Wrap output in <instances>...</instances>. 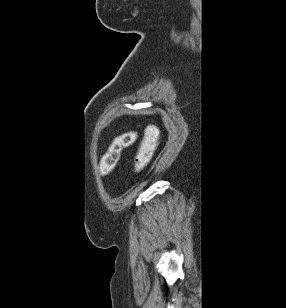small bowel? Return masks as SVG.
<instances>
[{
    "label": "small bowel",
    "instance_id": "c3829d8e",
    "mask_svg": "<svg viewBox=\"0 0 286 308\" xmlns=\"http://www.w3.org/2000/svg\"><path fill=\"white\" fill-rule=\"evenodd\" d=\"M152 138L156 142L159 138V131L156 127L150 126L146 129L143 140Z\"/></svg>",
    "mask_w": 286,
    "mask_h": 308
}]
</instances>
